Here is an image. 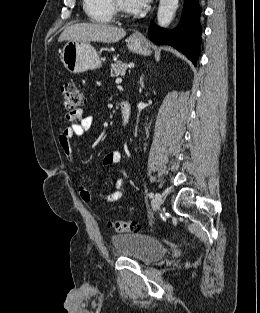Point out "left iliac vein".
<instances>
[{
	"instance_id": "obj_1",
	"label": "left iliac vein",
	"mask_w": 260,
	"mask_h": 313,
	"mask_svg": "<svg viewBox=\"0 0 260 313\" xmlns=\"http://www.w3.org/2000/svg\"><path fill=\"white\" fill-rule=\"evenodd\" d=\"M162 204V195L160 193H156L152 199L151 206L153 211H157Z\"/></svg>"
}]
</instances>
